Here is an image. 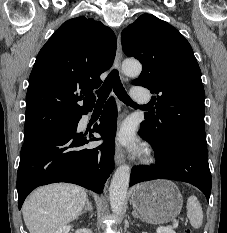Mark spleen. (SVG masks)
<instances>
[{
	"label": "spleen",
	"instance_id": "1",
	"mask_svg": "<svg viewBox=\"0 0 227 233\" xmlns=\"http://www.w3.org/2000/svg\"><path fill=\"white\" fill-rule=\"evenodd\" d=\"M187 217L193 228L198 229L203 222L202 207L195 195H191L187 200Z\"/></svg>",
	"mask_w": 227,
	"mask_h": 233
}]
</instances>
